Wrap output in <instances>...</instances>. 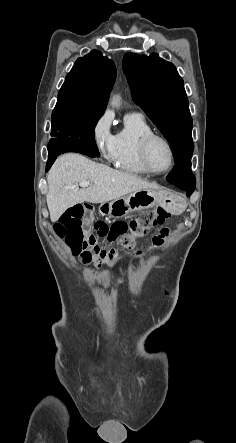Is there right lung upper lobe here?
<instances>
[{
	"label": "right lung upper lobe",
	"mask_w": 236,
	"mask_h": 443,
	"mask_svg": "<svg viewBox=\"0 0 236 443\" xmlns=\"http://www.w3.org/2000/svg\"><path fill=\"white\" fill-rule=\"evenodd\" d=\"M115 79L114 62L93 50L78 58L67 74L56 107L104 112Z\"/></svg>",
	"instance_id": "1"
}]
</instances>
